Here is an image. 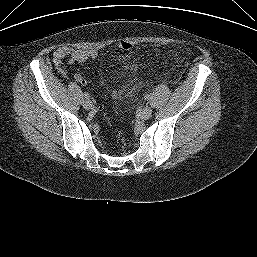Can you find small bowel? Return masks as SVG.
<instances>
[{"mask_svg": "<svg viewBox=\"0 0 257 257\" xmlns=\"http://www.w3.org/2000/svg\"><path fill=\"white\" fill-rule=\"evenodd\" d=\"M97 57L98 52L94 49H73L69 47H60L57 48L53 53V63L60 72H63L60 67L64 60H67L68 63L72 64L91 61ZM118 62L125 72H127L132 78H135L138 71V65L136 62L131 60L129 55L120 56L118 58ZM74 80L83 86L87 84L85 77L78 73L74 75Z\"/></svg>", "mask_w": 257, "mask_h": 257, "instance_id": "small-bowel-1", "label": "small bowel"}]
</instances>
